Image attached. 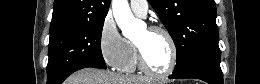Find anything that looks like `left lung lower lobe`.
I'll return each instance as SVG.
<instances>
[{
    "instance_id": "1",
    "label": "left lung lower lobe",
    "mask_w": 260,
    "mask_h": 84,
    "mask_svg": "<svg viewBox=\"0 0 260 84\" xmlns=\"http://www.w3.org/2000/svg\"><path fill=\"white\" fill-rule=\"evenodd\" d=\"M220 60V51L199 56L182 71L177 73L173 72L169 78H195L209 84H223V73L220 68Z\"/></svg>"
}]
</instances>
